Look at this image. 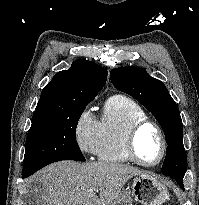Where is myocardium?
I'll return each instance as SVG.
<instances>
[{"label": "myocardium", "instance_id": "1", "mask_svg": "<svg viewBox=\"0 0 199 205\" xmlns=\"http://www.w3.org/2000/svg\"><path fill=\"white\" fill-rule=\"evenodd\" d=\"M147 126L153 127L158 132L160 139H161V143H162L161 154L158 160H156L155 162L143 161L139 157L137 150H136L137 136L139 132ZM125 150H126L128 157L131 159V161L135 162L136 164H139L145 167H154V166L161 164L166 157L167 150H168L167 137L162 127L156 121L146 118V119L133 123L131 127L129 128L126 134V138H125Z\"/></svg>", "mask_w": 199, "mask_h": 205}]
</instances>
